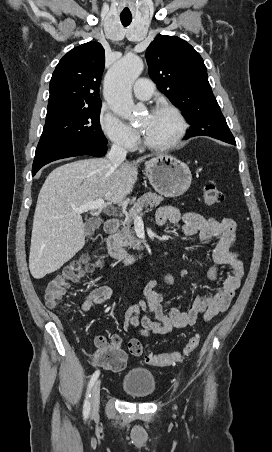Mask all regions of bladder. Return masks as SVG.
<instances>
[{
	"mask_svg": "<svg viewBox=\"0 0 272 452\" xmlns=\"http://www.w3.org/2000/svg\"><path fill=\"white\" fill-rule=\"evenodd\" d=\"M121 388L130 398L145 399L156 391L155 377L146 368L133 367L124 374Z\"/></svg>",
	"mask_w": 272,
	"mask_h": 452,
	"instance_id": "31cf9c89",
	"label": "bladder"
}]
</instances>
